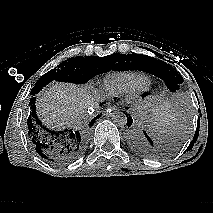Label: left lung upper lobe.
Listing matches in <instances>:
<instances>
[{
  "label": "left lung upper lobe",
  "instance_id": "obj_1",
  "mask_svg": "<svg viewBox=\"0 0 213 213\" xmlns=\"http://www.w3.org/2000/svg\"><path fill=\"white\" fill-rule=\"evenodd\" d=\"M130 57L128 63L131 69L142 70L161 78L173 91L183 83L180 73L162 60L142 54H134Z\"/></svg>",
  "mask_w": 213,
  "mask_h": 213
}]
</instances>
